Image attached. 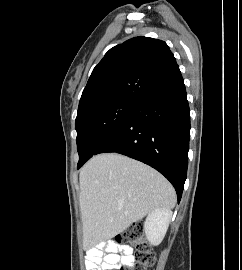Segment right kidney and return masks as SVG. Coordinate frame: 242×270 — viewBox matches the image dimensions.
<instances>
[{
    "mask_svg": "<svg viewBox=\"0 0 242 270\" xmlns=\"http://www.w3.org/2000/svg\"><path fill=\"white\" fill-rule=\"evenodd\" d=\"M172 211L157 208L150 212L144 223L146 238L152 245H159L169 226Z\"/></svg>",
    "mask_w": 242,
    "mask_h": 270,
    "instance_id": "1",
    "label": "right kidney"
}]
</instances>
